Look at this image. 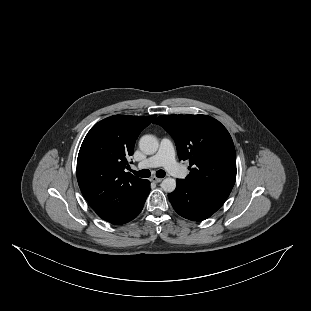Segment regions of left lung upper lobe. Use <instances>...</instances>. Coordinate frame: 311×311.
Masks as SVG:
<instances>
[{
    "mask_svg": "<svg viewBox=\"0 0 311 311\" xmlns=\"http://www.w3.org/2000/svg\"><path fill=\"white\" fill-rule=\"evenodd\" d=\"M154 123L174 139L180 160H189L184 180L230 193L236 180V152L226 128L206 115H161Z\"/></svg>",
    "mask_w": 311,
    "mask_h": 311,
    "instance_id": "left-lung-upper-lobe-1",
    "label": "left lung upper lobe"
}]
</instances>
